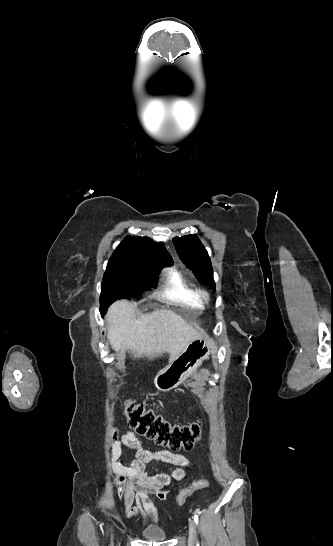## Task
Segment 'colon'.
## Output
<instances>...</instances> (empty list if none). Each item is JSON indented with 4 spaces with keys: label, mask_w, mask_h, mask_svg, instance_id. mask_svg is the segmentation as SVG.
Returning <instances> with one entry per match:
<instances>
[{
    "label": "colon",
    "mask_w": 333,
    "mask_h": 546,
    "mask_svg": "<svg viewBox=\"0 0 333 546\" xmlns=\"http://www.w3.org/2000/svg\"><path fill=\"white\" fill-rule=\"evenodd\" d=\"M124 411L127 424L131 429L171 450L191 451L201 439L202 428L198 422L189 425H173L136 401H127ZM207 486L208 483L205 480L194 481L179 493L177 503L183 505L190 495Z\"/></svg>",
    "instance_id": "1"
}]
</instances>
